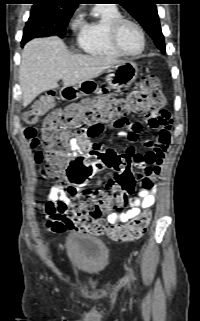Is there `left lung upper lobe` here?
<instances>
[{
  "label": "left lung upper lobe",
  "mask_w": 200,
  "mask_h": 321,
  "mask_svg": "<svg viewBox=\"0 0 200 321\" xmlns=\"http://www.w3.org/2000/svg\"><path fill=\"white\" fill-rule=\"evenodd\" d=\"M118 3L140 23L157 47L165 52L164 36L155 6L157 0H118Z\"/></svg>",
  "instance_id": "obj_1"
}]
</instances>
